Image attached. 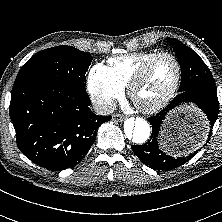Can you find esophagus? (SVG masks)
I'll list each match as a JSON object with an SVG mask.
<instances>
[{"mask_svg":"<svg viewBox=\"0 0 222 222\" xmlns=\"http://www.w3.org/2000/svg\"><path fill=\"white\" fill-rule=\"evenodd\" d=\"M112 119H113L114 121L121 122V121H123V120L125 119V117L122 116V115H120V114H114V115L112 116Z\"/></svg>","mask_w":222,"mask_h":222,"instance_id":"34e87169","label":"esophagus"}]
</instances>
